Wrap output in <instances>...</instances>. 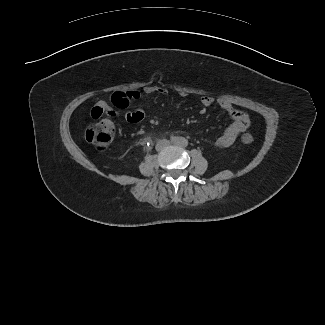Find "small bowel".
<instances>
[{"label": "small bowel", "mask_w": 325, "mask_h": 325, "mask_svg": "<svg viewBox=\"0 0 325 325\" xmlns=\"http://www.w3.org/2000/svg\"><path fill=\"white\" fill-rule=\"evenodd\" d=\"M145 94H159L166 95L167 90L160 86H148L143 90ZM182 97L187 96L185 92H181ZM142 97V92L132 91L129 93H117L113 97V105H109L105 101H99L91 110V116L93 118H99L101 115L106 114L111 118L123 117L129 123H138L144 118V111L140 107H134L131 111L123 113L131 105V99L138 100ZM201 104L205 107H209L215 102L226 111L233 122L225 129V131L218 137L216 145L221 148L229 147L232 145L238 137L244 133L249 126L248 116L236 109L229 101L225 99H215L211 96H202ZM204 113V110H202Z\"/></svg>", "instance_id": "small-bowel-1"}]
</instances>
